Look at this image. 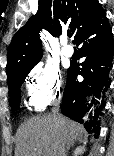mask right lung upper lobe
I'll list each match as a JSON object with an SVG mask.
<instances>
[{
  "mask_svg": "<svg viewBox=\"0 0 114 156\" xmlns=\"http://www.w3.org/2000/svg\"><path fill=\"white\" fill-rule=\"evenodd\" d=\"M101 9L97 0H39L37 14L17 31L10 43L6 67L8 84L40 61L41 28L60 35L68 27L75 39Z\"/></svg>",
  "mask_w": 114,
  "mask_h": 156,
  "instance_id": "obj_1",
  "label": "right lung upper lobe"
}]
</instances>
